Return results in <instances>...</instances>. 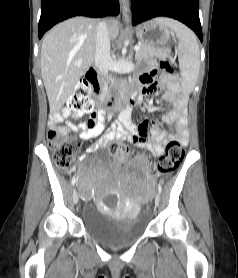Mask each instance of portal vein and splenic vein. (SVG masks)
<instances>
[{
    "label": "portal vein and splenic vein",
    "mask_w": 238,
    "mask_h": 278,
    "mask_svg": "<svg viewBox=\"0 0 238 278\" xmlns=\"http://www.w3.org/2000/svg\"><path fill=\"white\" fill-rule=\"evenodd\" d=\"M134 50L137 52V51H139L140 50V46L139 45H136L135 47H134Z\"/></svg>",
    "instance_id": "1"
}]
</instances>
